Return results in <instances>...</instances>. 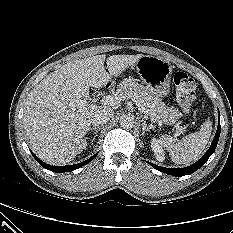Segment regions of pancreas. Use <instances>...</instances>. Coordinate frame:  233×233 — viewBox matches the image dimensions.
I'll return each instance as SVG.
<instances>
[{"label": "pancreas", "mask_w": 233, "mask_h": 233, "mask_svg": "<svg viewBox=\"0 0 233 233\" xmlns=\"http://www.w3.org/2000/svg\"><path fill=\"white\" fill-rule=\"evenodd\" d=\"M120 100L132 99L140 102L147 110L152 121L167 125L174 124L181 113L174 107H166L160 98L148 88L128 79L121 81L114 92Z\"/></svg>", "instance_id": "1"}]
</instances>
